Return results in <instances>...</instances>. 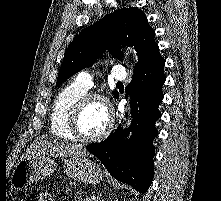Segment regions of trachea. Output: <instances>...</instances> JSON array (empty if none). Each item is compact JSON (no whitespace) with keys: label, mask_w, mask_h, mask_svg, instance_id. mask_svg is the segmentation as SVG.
Instances as JSON below:
<instances>
[{"label":"trachea","mask_w":221,"mask_h":201,"mask_svg":"<svg viewBox=\"0 0 221 201\" xmlns=\"http://www.w3.org/2000/svg\"><path fill=\"white\" fill-rule=\"evenodd\" d=\"M117 85H122V83L121 82H117Z\"/></svg>","instance_id":"3493384b"}]
</instances>
